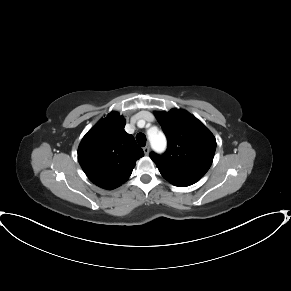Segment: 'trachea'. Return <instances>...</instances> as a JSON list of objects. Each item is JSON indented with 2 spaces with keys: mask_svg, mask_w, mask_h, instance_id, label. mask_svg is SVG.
I'll list each match as a JSON object with an SVG mask.
<instances>
[{
  "mask_svg": "<svg viewBox=\"0 0 291 291\" xmlns=\"http://www.w3.org/2000/svg\"><path fill=\"white\" fill-rule=\"evenodd\" d=\"M136 140L141 147L146 145V136L143 133H138L136 135Z\"/></svg>",
  "mask_w": 291,
  "mask_h": 291,
  "instance_id": "obj_1",
  "label": "trachea"
}]
</instances>
